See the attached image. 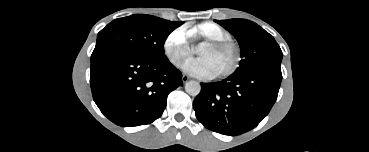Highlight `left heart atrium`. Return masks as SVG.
<instances>
[{
    "label": "left heart atrium",
    "instance_id": "39dd6f15",
    "mask_svg": "<svg viewBox=\"0 0 369 152\" xmlns=\"http://www.w3.org/2000/svg\"><path fill=\"white\" fill-rule=\"evenodd\" d=\"M183 70L195 77L199 78H212L215 76L211 65L204 59H196L188 61L184 66Z\"/></svg>",
    "mask_w": 369,
    "mask_h": 152
}]
</instances>
